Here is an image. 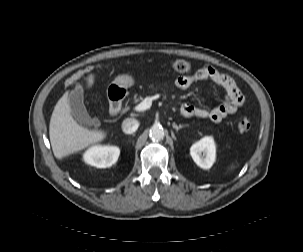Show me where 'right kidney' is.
Segmentation results:
<instances>
[{"mask_svg": "<svg viewBox=\"0 0 303 252\" xmlns=\"http://www.w3.org/2000/svg\"><path fill=\"white\" fill-rule=\"evenodd\" d=\"M120 149L117 146H93L83 154L85 163L97 168H108L118 160Z\"/></svg>", "mask_w": 303, "mask_h": 252, "instance_id": "obj_1", "label": "right kidney"}]
</instances>
